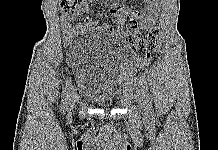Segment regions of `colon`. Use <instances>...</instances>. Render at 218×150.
I'll list each match as a JSON object with an SVG mask.
<instances>
[{
	"mask_svg": "<svg viewBox=\"0 0 218 150\" xmlns=\"http://www.w3.org/2000/svg\"><path fill=\"white\" fill-rule=\"evenodd\" d=\"M82 0H62L60 10L62 12H73ZM159 28L154 25L146 35L142 36L137 29H131L125 36L126 43L135 52L140 61H146L158 44Z\"/></svg>",
	"mask_w": 218,
	"mask_h": 150,
	"instance_id": "colon-1",
	"label": "colon"
}]
</instances>
